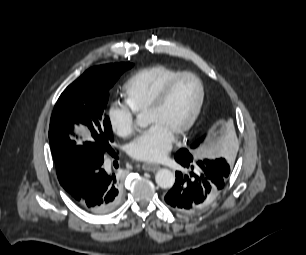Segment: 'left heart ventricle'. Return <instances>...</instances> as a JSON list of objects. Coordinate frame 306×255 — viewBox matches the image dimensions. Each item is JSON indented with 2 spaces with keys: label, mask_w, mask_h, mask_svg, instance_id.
Instances as JSON below:
<instances>
[{
  "label": "left heart ventricle",
  "mask_w": 306,
  "mask_h": 255,
  "mask_svg": "<svg viewBox=\"0 0 306 255\" xmlns=\"http://www.w3.org/2000/svg\"><path fill=\"white\" fill-rule=\"evenodd\" d=\"M200 95L198 82L192 77L180 79L173 87L164 104L147 113L149 123H158L173 135L189 120Z\"/></svg>",
  "instance_id": "obj_1"
}]
</instances>
